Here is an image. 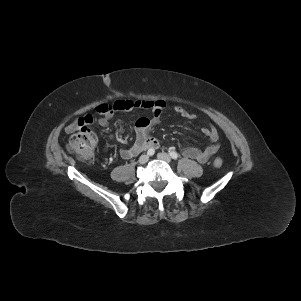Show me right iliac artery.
Here are the masks:
<instances>
[{
    "label": "right iliac artery",
    "mask_w": 301,
    "mask_h": 301,
    "mask_svg": "<svg viewBox=\"0 0 301 301\" xmlns=\"http://www.w3.org/2000/svg\"><path fill=\"white\" fill-rule=\"evenodd\" d=\"M154 153H155V150H154V149H149V150L147 151V154H148L149 156H152Z\"/></svg>",
    "instance_id": "right-iliac-artery-1"
}]
</instances>
